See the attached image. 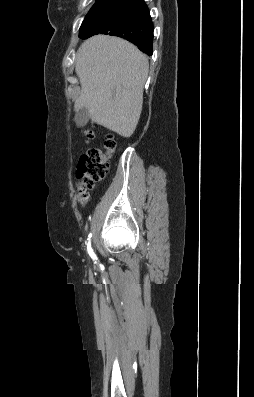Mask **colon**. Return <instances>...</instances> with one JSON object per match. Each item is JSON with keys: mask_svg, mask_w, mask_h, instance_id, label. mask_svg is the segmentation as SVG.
<instances>
[{"mask_svg": "<svg viewBox=\"0 0 254 397\" xmlns=\"http://www.w3.org/2000/svg\"><path fill=\"white\" fill-rule=\"evenodd\" d=\"M86 141H90L94 137L92 129L84 131ZM117 144L112 135H107L104 140L105 151L99 149H89L81 155L78 164L76 175L79 180L78 188L80 192V201L85 204L88 199L87 192L96 182L102 180L109 168L108 160L116 150Z\"/></svg>", "mask_w": 254, "mask_h": 397, "instance_id": "1", "label": "colon"}]
</instances>
